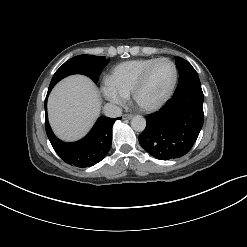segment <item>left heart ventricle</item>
<instances>
[{
  "label": "left heart ventricle",
  "instance_id": "1",
  "mask_svg": "<svg viewBox=\"0 0 247 247\" xmlns=\"http://www.w3.org/2000/svg\"><path fill=\"white\" fill-rule=\"evenodd\" d=\"M173 79V67L167 61H160L153 66L138 99L144 105L160 101L167 93Z\"/></svg>",
  "mask_w": 247,
  "mask_h": 247
}]
</instances>
